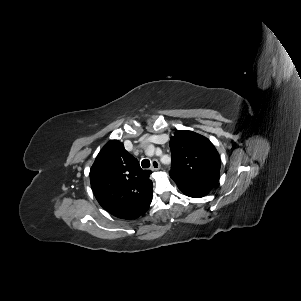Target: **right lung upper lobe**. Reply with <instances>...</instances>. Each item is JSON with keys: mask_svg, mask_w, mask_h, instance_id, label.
I'll return each instance as SVG.
<instances>
[{"mask_svg": "<svg viewBox=\"0 0 301 301\" xmlns=\"http://www.w3.org/2000/svg\"><path fill=\"white\" fill-rule=\"evenodd\" d=\"M150 170L139 162L118 140L109 141L90 169V182L99 204L121 219H136L152 201Z\"/></svg>", "mask_w": 301, "mask_h": 301, "instance_id": "obj_1", "label": "right lung upper lobe"}]
</instances>
